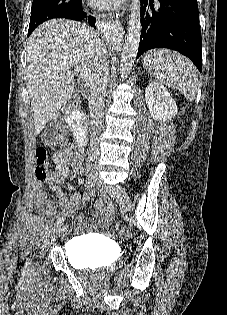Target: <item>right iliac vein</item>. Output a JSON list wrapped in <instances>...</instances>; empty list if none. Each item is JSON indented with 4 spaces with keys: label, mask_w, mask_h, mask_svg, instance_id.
I'll use <instances>...</instances> for the list:
<instances>
[{
    "label": "right iliac vein",
    "mask_w": 227,
    "mask_h": 315,
    "mask_svg": "<svg viewBox=\"0 0 227 315\" xmlns=\"http://www.w3.org/2000/svg\"><path fill=\"white\" fill-rule=\"evenodd\" d=\"M88 177L91 180L97 179V172L95 170H90L89 173H88ZM66 229H67V225L66 224H60L56 228V234H62V233H64L66 231Z\"/></svg>",
    "instance_id": "63e3f726"
}]
</instances>
